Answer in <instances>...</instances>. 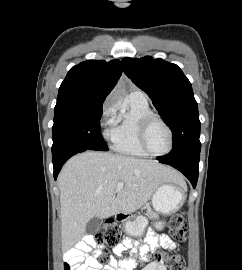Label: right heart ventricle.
Wrapping results in <instances>:
<instances>
[{
	"label": "right heart ventricle",
	"instance_id": "right-heart-ventricle-1",
	"mask_svg": "<svg viewBox=\"0 0 242 270\" xmlns=\"http://www.w3.org/2000/svg\"><path fill=\"white\" fill-rule=\"evenodd\" d=\"M152 110L146 99L133 94L121 103L110 129V140L115 151L136 157L148 156L138 140V129L141 119L151 114Z\"/></svg>",
	"mask_w": 242,
	"mask_h": 270
}]
</instances>
